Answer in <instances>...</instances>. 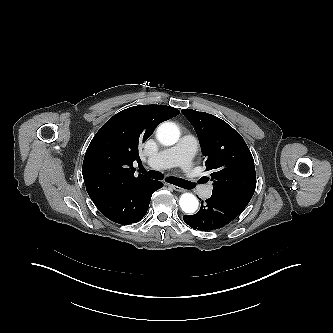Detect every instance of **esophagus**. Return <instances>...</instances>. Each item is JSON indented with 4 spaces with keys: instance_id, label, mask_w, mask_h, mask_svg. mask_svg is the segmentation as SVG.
<instances>
[{
    "instance_id": "esophagus-1",
    "label": "esophagus",
    "mask_w": 333,
    "mask_h": 333,
    "mask_svg": "<svg viewBox=\"0 0 333 333\" xmlns=\"http://www.w3.org/2000/svg\"><path fill=\"white\" fill-rule=\"evenodd\" d=\"M168 186L171 187L172 189H174L177 192H184L185 191L183 188H180V187L172 185V184H168Z\"/></svg>"
}]
</instances>
